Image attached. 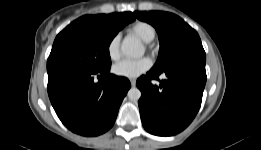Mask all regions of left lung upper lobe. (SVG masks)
Instances as JSON below:
<instances>
[{"label": "left lung upper lobe", "instance_id": "5c2ea615", "mask_svg": "<svg viewBox=\"0 0 261 150\" xmlns=\"http://www.w3.org/2000/svg\"><path fill=\"white\" fill-rule=\"evenodd\" d=\"M141 21L155 27L160 42L159 56L155 68L166 65L182 50L202 45L197 32L175 14L162 11L134 12Z\"/></svg>", "mask_w": 261, "mask_h": 150}]
</instances>
